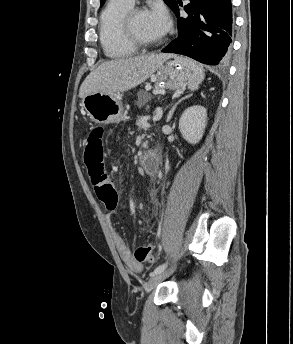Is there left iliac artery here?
I'll list each match as a JSON object with an SVG mask.
<instances>
[{"instance_id":"44dca946","label":"left iliac artery","mask_w":293,"mask_h":344,"mask_svg":"<svg viewBox=\"0 0 293 344\" xmlns=\"http://www.w3.org/2000/svg\"><path fill=\"white\" fill-rule=\"evenodd\" d=\"M166 267H167V263L160 264L159 266H157L154 269V271L151 273V275H154V274H157V273L164 271Z\"/></svg>"}]
</instances>
